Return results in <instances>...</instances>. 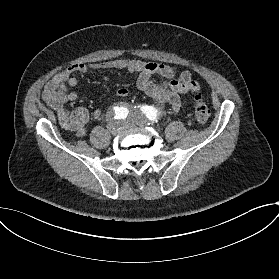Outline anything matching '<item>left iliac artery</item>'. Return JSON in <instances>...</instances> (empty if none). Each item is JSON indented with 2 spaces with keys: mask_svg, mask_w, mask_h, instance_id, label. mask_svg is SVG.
I'll return each instance as SVG.
<instances>
[{
  "mask_svg": "<svg viewBox=\"0 0 279 279\" xmlns=\"http://www.w3.org/2000/svg\"><path fill=\"white\" fill-rule=\"evenodd\" d=\"M157 110H155V108H153V107H150V106H148L147 107V113H146V116L150 119V120H152V121H154V122H158V120H157ZM159 114V113H158Z\"/></svg>",
  "mask_w": 279,
  "mask_h": 279,
  "instance_id": "44dca946",
  "label": "left iliac artery"
}]
</instances>
